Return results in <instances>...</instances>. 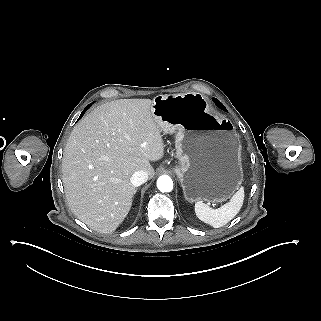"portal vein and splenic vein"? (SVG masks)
Here are the masks:
<instances>
[{"mask_svg": "<svg viewBox=\"0 0 321 321\" xmlns=\"http://www.w3.org/2000/svg\"><path fill=\"white\" fill-rule=\"evenodd\" d=\"M214 204L217 206L219 203L216 201Z\"/></svg>", "mask_w": 321, "mask_h": 321, "instance_id": "1", "label": "portal vein and splenic vein"}]
</instances>
